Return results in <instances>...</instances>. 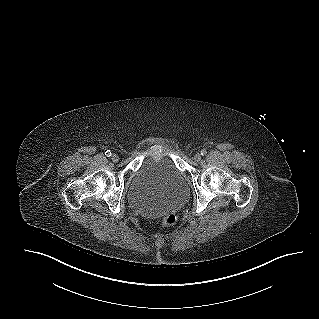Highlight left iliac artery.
<instances>
[{
  "label": "left iliac artery",
  "instance_id": "44dca946",
  "mask_svg": "<svg viewBox=\"0 0 319 319\" xmlns=\"http://www.w3.org/2000/svg\"><path fill=\"white\" fill-rule=\"evenodd\" d=\"M207 154V151L205 149L201 150V155L204 156Z\"/></svg>",
  "mask_w": 319,
  "mask_h": 319
}]
</instances>
